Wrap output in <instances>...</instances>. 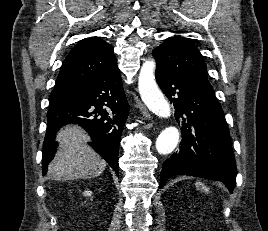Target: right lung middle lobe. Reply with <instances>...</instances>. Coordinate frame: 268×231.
Segmentation results:
<instances>
[{"label": "right lung middle lobe", "mask_w": 268, "mask_h": 231, "mask_svg": "<svg viewBox=\"0 0 268 231\" xmlns=\"http://www.w3.org/2000/svg\"><path fill=\"white\" fill-rule=\"evenodd\" d=\"M77 89L67 88L53 90L49 97V106H56L74 99L77 96Z\"/></svg>", "instance_id": "dd1d6c3e"}]
</instances>
